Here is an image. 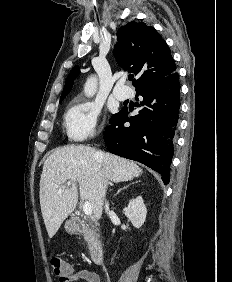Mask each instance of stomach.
<instances>
[{"label":"stomach","instance_id":"1","mask_svg":"<svg viewBox=\"0 0 232 282\" xmlns=\"http://www.w3.org/2000/svg\"><path fill=\"white\" fill-rule=\"evenodd\" d=\"M77 227L78 226L74 219H70L65 222V229L68 233H71V234L75 233L77 230Z\"/></svg>","mask_w":232,"mask_h":282}]
</instances>
